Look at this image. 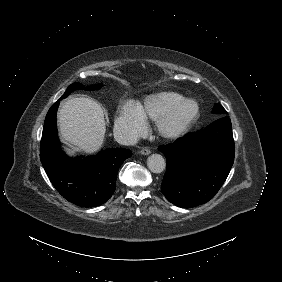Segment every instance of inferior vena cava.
Listing matches in <instances>:
<instances>
[{
    "instance_id": "inferior-vena-cava-1",
    "label": "inferior vena cava",
    "mask_w": 282,
    "mask_h": 282,
    "mask_svg": "<svg viewBox=\"0 0 282 282\" xmlns=\"http://www.w3.org/2000/svg\"><path fill=\"white\" fill-rule=\"evenodd\" d=\"M114 140L122 145H129L136 143L137 136L129 129L118 123L115 125L114 130Z\"/></svg>"
}]
</instances>
